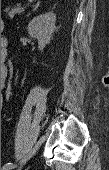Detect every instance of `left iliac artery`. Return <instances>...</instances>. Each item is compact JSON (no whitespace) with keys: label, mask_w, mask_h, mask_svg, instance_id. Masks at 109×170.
Returning <instances> with one entry per match:
<instances>
[{"label":"left iliac artery","mask_w":109,"mask_h":170,"mask_svg":"<svg viewBox=\"0 0 109 170\" xmlns=\"http://www.w3.org/2000/svg\"><path fill=\"white\" fill-rule=\"evenodd\" d=\"M14 167L13 163H6L3 167L2 170H10Z\"/></svg>","instance_id":"44dca946"}]
</instances>
